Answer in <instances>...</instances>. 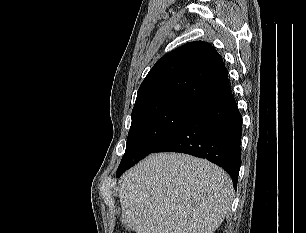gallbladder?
Returning a JSON list of instances; mask_svg holds the SVG:
<instances>
[{
  "instance_id": "obj_1",
  "label": "gallbladder",
  "mask_w": 306,
  "mask_h": 233,
  "mask_svg": "<svg viewBox=\"0 0 306 233\" xmlns=\"http://www.w3.org/2000/svg\"><path fill=\"white\" fill-rule=\"evenodd\" d=\"M124 225H125L126 229H128V230L133 229L132 225L130 223H125Z\"/></svg>"
}]
</instances>
